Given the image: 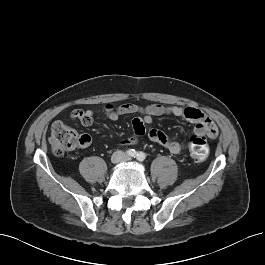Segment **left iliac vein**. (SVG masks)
Masks as SVG:
<instances>
[{
  "label": "left iliac vein",
  "mask_w": 265,
  "mask_h": 265,
  "mask_svg": "<svg viewBox=\"0 0 265 265\" xmlns=\"http://www.w3.org/2000/svg\"><path fill=\"white\" fill-rule=\"evenodd\" d=\"M129 160H130V158L128 156L124 157V161H129Z\"/></svg>",
  "instance_id": "obj_1"
}]
</instances>
